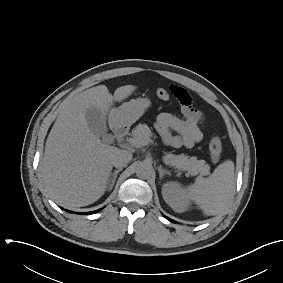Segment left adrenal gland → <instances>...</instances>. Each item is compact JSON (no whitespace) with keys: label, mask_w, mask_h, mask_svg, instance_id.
<instances>
[{"label":"left adrenal gland","mask_w":283,"mask_h":283,"mask_svg":"<svg viewBox=\"0 0 283 283\" xmlns=\"http://www.w3.org/2000/svg\"><path fill=\"white\" fill-rule=\"evenodd\" d=\"M158 172H159L160 179H162L165 174L171 175L170 171H168L167 169L162 168L161 165L158 167Z\"/></svg>","instance_id":"left-adrenal-gland-1"}]
</instances>
